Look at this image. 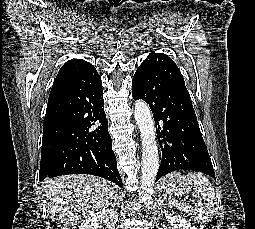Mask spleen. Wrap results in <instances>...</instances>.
Returning a JSON list of instances; mask_svg holds the SVG:
<instances>
[{
	"label": "spleen",
	"mask_w": 255,
	"mask_h": 229,
	"mask_svg": "<svg viewBox=\"0 0 255 229\" xmlns=\"http://www.w3.org/2000/svg\"><path fill=\"white\" fill-rule=\"evenodd\" d=\"M194 183V191L198 197V204L196 208L184 204L178 200H170L178 209L189 212L195 220L202 223H208L212 220L215 206V191L209 179L201 173L190 172L187 175Z\"/></svg>",
	"instance_id": "spleen-1"
}]
</instances>
